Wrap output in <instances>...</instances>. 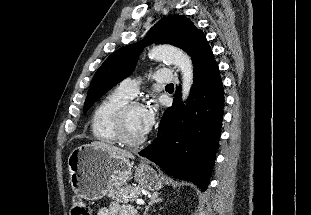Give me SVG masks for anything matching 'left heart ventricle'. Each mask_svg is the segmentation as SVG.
<instances>
[{
    "mask_svg": "<svg viewBox=\"0 0 311 215\" xmlns=\"http://www.w3.org/2000/svg\"><path fill=\"white\" fill-rule=\"evenodd\" d=\"M141 112V107H135L132 108L126 116L127 132L129 136L134 139H140L144 136L140 130L139 124Z\"/></svg>",
    "mask_w": 311,
    "mask_h": 215,
    "instance_id": "b2bd125f",
    "label": "left heart ventricle"
}]
</instances>
